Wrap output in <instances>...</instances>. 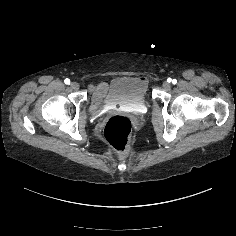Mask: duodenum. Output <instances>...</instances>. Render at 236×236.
<instances>
[{"instance_id":"1","label":"duodenum","mask_w":236,"mask_h":236,"mask_svg":"<svg viewBox=\"0 0 236 236\" xmlns=\"http://www.w3.org/2000/svg\"><path fill=\"white\" fill-rule=\"evenodd\" d=\"M103 92L100 89H94L92 92V107L94 110H98L101 105Z\"/></svg>"}]
</instances>
